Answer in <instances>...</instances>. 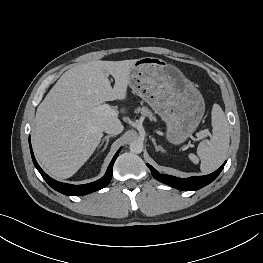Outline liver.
I'll use <instances>...</instances> for the list:
<instances>
[{"instance_id":"obj_1","label":"liver","mask_w":263,"mask_h":263,"mask_svg":"<svg viewBox=\"0 0 263 263\" xmlns=\"http://www.w3.org/2000/svg\"><path fill=\"white\" fill-rule=\"evenodd\" d=\"M135 60L91 61L59 78L38 106L33 128L34 150L47 172L59 179L73 176L95 151L104 127L119 121L93 109L126 99ZM109 75L115 79L113 88Z\"/></svg>"}]
</instances>
